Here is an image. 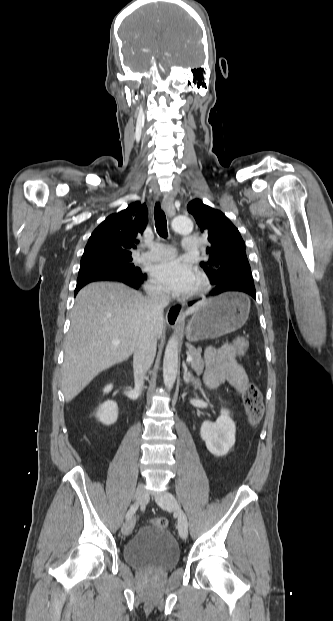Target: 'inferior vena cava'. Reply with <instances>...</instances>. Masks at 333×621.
Wrapping results in <instances>:
<instances>
[{
  "instance_id": "1",
  "label": "inferior vena cava",
  "mask_w": 333,
  "mask_h": 621,
  "mask_svg": "<svg viewBox=\"0 0 333 621\" xmlns=\"http://www.w3.org/2000/svg\"><path fill=\"white\" fill-rule=\"evenodd\" d=\"M147 307V324L140 330L133 355V373L135 390L142 392L144 376L151 367L157 346L156 323L163 321V310L170 302V293L164 289L152 290L145 299Z\"/></svg>"
}]
</instances>
